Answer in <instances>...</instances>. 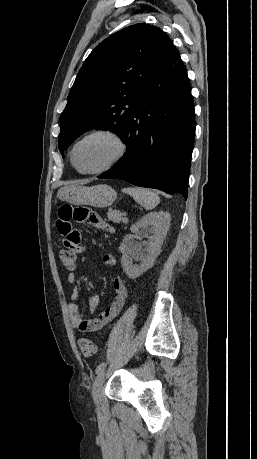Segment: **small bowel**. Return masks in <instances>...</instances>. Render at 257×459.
<instances>
[{"instance_id": "c3829d8e", "label": "small bowel", "mask_w": 257, "mask_h": 459, "mask_svg": "<svg viewBox=\"0 0 257 459\" xmlns=\"http://www.w3.org/2000/svg\"><path fill=\"white\" fill-rule=\"evenodd\" d=\"M80 226H88L89 229H102L112 232L113 229L100 218L98 208L92 205H60L58 220L56 222L57 231L63 236L62 245L67 251H75L76 257H81L84 262L88 256V249L83 247ZM103 263L107 267L116 265V258L113 255H105ZM67 282L72 286L70 299L67 305L68 314L74 329L81 333L96 332L110 323L124 307L128 291L123 280L116 276L113 280L115 297L108 307H106L97 318L87 319L94 312L98 305V297L92 294L88 300V309L82 310L75 301L79 298V288L77 286V276L74 272L67 275Z\"/></svg>"}]
</instances>
